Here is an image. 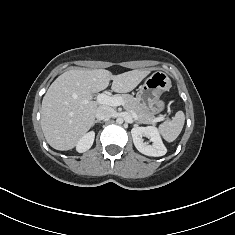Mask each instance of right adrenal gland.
I'll return each instance as SVG.
<instances>
[{
  "instance_id": "2a0ac1e0",
  "label": "right adrenal gland",
  "mask_w": 235,
  "mask_h": 235,
  "mask_svg": "<svg viewBox=\"0 0 235 235\" xmlns=\"http://www.w3.org/2000/svg\"><path fill=\"white\" fill-rule=\"evenodd\" d=\"M99 122H100L99 120H95L93 125H95V123H99Z\"/></svg>"
}]
</instances>
